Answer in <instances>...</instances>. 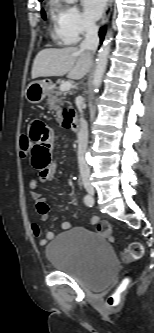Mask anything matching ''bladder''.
I'll use <instances>...</instances> for the list:
<instances>
[{"label":"bladder","instance_id":"31cf9c89","mask_svg":"<svg viewBox=\"0 0 154 333\" xmlns=\"http://www.w3.org/2000/svg\"><path fill=\"white\" fill-rule=\"evenodd\" d=\"M57 271L104 286L112 278L116 261L107 239L87 227H75L57 234L44 251Z\"/></svg>","mask_w":154,"mask_h":333}]
</instances>
